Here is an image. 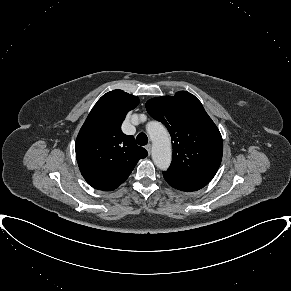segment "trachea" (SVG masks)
I'll return each mask as SVG.
<instances>
[{
    "label": "trachea",
    "instance_id": "trachea-1",
    "mask_svg": "<svg viewBox=\"0 0 291 291\" xmlns=\"http://www.w3.org/2000/svg\"><path fill=\"white\" fill-rule=\"evenodd\" d=\"M136 143L140 146H144L148 143V137L145 133H140L136 137Z\"/></svg>",
    "mask_w": 291,
    "mask_h": 291
}]
</instances>
